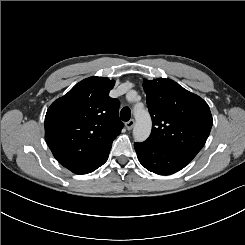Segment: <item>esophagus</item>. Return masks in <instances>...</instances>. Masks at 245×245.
Masks as SVG:
<instances>
[{
	"instance_id": "esophagus-1",
	"label": "esophagus",
	"mask_w": 245,
	"mask_h": 245,
	"mask_svg": "<svg viewBox=\"0 0 245 245\" xmlns=\"http://www.w3.org/2000/svg\"><path fill=\"white\" fill-rule=\"evenodd\" d=\"M134 124H135L134 119H130L129 121H127V122L125 123V126H126V128H127L128 130H131V129L133 128Z\"/></svg>"
}]
</instances>
